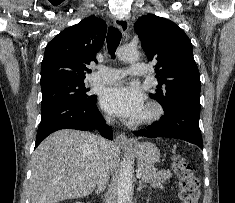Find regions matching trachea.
<instances>
[{"instance_id": "obj_1", "label": "trachea", "mask_w": 235, "mask_h": 203, "mask_svg": "<svg viewBox=\"0 0 235 203\" xmlns=\"http://www.w3.org/2000/svg\"><path fill=\"white\" fill-rule=\"evenodd\" d=\"M122 34L119 29L110 27L107 35V47L109 54L114 57L115 51L120 44Z\"/></svg>"}]
</instances>
